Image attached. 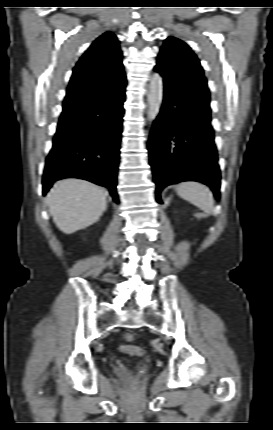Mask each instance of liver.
<instances>
[{
  "instance_id": "1",
  "label": "liver",
  "mask_w": 273,
  "mask_h": 430,
  "mask_svg": "<svg viewBox=\"0 0 273 430\" xmlns=\"http://www.w3.org/2000/svg\"><path fill=\"white\" fill-rule=\"evenodd\" d=\"M46 199L54 223L65 234L94 224L107 206L103 189L77 178L57 181Z\"/></svg>"
}]
</instances>
